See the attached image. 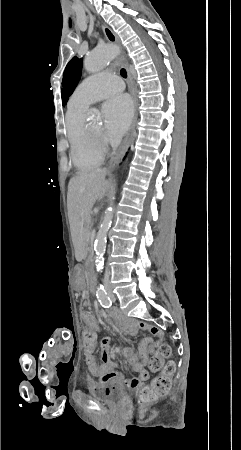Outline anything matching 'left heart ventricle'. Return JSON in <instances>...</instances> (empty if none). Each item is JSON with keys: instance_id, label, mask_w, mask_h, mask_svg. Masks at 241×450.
I'll return each instance as SVG.
<instances>
[{"instance_id": "left-heart-ventricle-1", "label": "left heart ventricle", "mask_w": 241, "mask_h": 450, "mask_svg": "<svg viewBox=\"0 0 241 450\" xmlns=\"http://www.w3.org/2000/svg\"><path fill=\"white\" fill-rule=\"evenodd\" d=\"M92 126L95 127V128L97 127L96 123H93Z\"/></svg>"}]
</instances>
